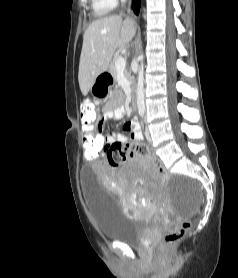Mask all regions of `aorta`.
Masks as SVG:
<instances>
[{
  "label": "aorta",
  "instance_id": "obj_1",
  "mask_svg": "<svg viewBox=\"0 0 238 278\" xmlns=\"http://www.w3.org/2000/svg\"><path fill=\"white\" fill-rule=\"evenodd\" d=\"M137 106L140 114L145 112V102H144V55H140V67L138 70V80H137Z\"/></svg>",
  "mask_w": 238,
  "mask_h": 278
}]
</instances>
